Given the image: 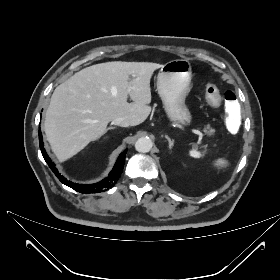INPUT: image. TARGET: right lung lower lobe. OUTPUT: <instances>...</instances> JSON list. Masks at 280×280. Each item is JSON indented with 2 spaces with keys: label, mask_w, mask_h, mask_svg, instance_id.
<instances>
[{
  "label": "right lung lower lobe",
  "mask_w": 280,
  "mask_h": 280,
  "mask_svg": "<svg viewBox=\"0 0 280 280\" xmlns=\"http://www.w3.org/2000/svg\"><path fill=\"white\" fill-rule=\"evenodd\" d=\"M39 145H40V149H41V152H42V155H43L45 161L47 162V164L49 165L51 170L54 172V174L57 176V178L63 184L73 188L74 190H76L80 193H85V194L99 193V192H104V191L111 189L116 184V181L118 180V178L120 177V174L123 171V167H124V163H125V155L127 152V149H125L119 155L113 170L110 172V174L107 178H105L104 180H102L98 183L86 185V184H77V183L68 181L66 178H64L58 172V170L55 168L54 163L51 161V159L47 155L45 149L43 148L44 144H43V137H42L41 131H39Z\"/></svg>",
  "instance_id": "right-lung-lower-lobe-1"
}]
</instances>
